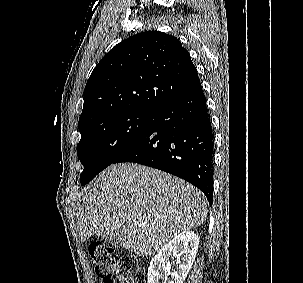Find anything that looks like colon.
Returning <instances> with one entry per match:
<instances>
[{
	"label": "colon",
	"mask_w": 303,
	"mask_h": 283,
	"mask_svg": "<svg viewBox=\"0 0 303 283\" xmlns=\"http://www.w3.org/2000/svg\"><path fill=\"white\" fill-rule=\"evenodd\" d=\"M88 253L96 274L104 283H123L133 280L137 267L130 257L100 241H91Z\"/></svg>",
	"instance_id": "colon-1"
}]
</instances>
